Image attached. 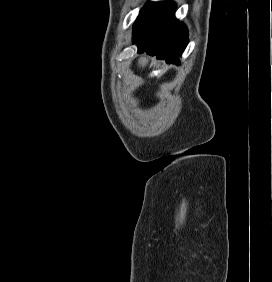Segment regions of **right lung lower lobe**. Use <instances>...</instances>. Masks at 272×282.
Returning <instances> with one entry per match:
<instances>
[{
  "label": "right lung lower lobe",
  "instance_id": "right-lung-lower-lobe-1",
  "mask_svg": "<svg viewBox=\"0 0 272 282\" xmlns=\"http://www.w3.org/2000/svg\"><path fill=\"white\" fill-rule=\"evenodd\" d=\"M176 5L170 1L147 3L133 26V39L138 44V52L157 55L167 63L179 64L187 43L188 32L183 23L174 17Z\"/></svg>",
  "mask_w": 272,
  "mask_h": 282
}]
</instances>
